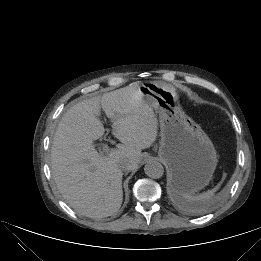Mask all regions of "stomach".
Here are the masks:
<instances>
[{
  "mask_svg": "<svg viewBox=\"0 0 261 261\" xmlns=\"http://www.w3.org/2000/svg\"><path fill=\"white\" fill-rule=\"evenodd\" d=\"M139 89L159 115L158 155L168 166L172 194H194L203 189L212 179L217 165V153L211 140L184 113L173 88L146 81Z\"/></svg>",
  "mask_w": 261,
  "mask_h": 261,
  "instance_id": "obj_1",
  "label": "stomach"
}]
</instances>
